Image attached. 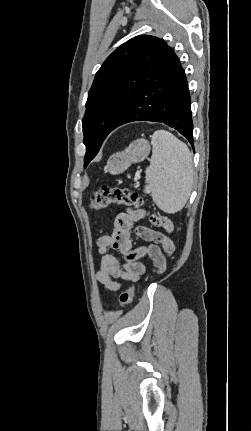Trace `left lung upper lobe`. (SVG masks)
Segmentation results:
<instances>
[{"instance_id": "1", "label": "left lung upper lobe", "mask_w": 251, "mask_h": 431, "mask_svg": "<svg viewBox=\"0 0 251 431\" xmlns=\"http://www.w3.org/2000/svg\"><path fill=\"white\" fill-rule=\"evenodd\" d=\"M165 44L154 36H137L110 54L96 73L82 119L84 167L123 119Z\"/></svg>"}]
</instances>
